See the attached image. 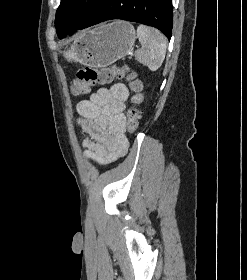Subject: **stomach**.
Listing matches in <instances>:
<instances>
[{
	"instance_id": "obj_1",
	"label": "stomach",
	"mask_w": 247,
	"mask_h": 280,
	"mask_svg": "<svg viewBox=\"0 0 247 280\" xmlns=\"http://www.w3.org/2000/svg\"><path fill=\"white\" fill-rule=\"evenodd\" d=\"M136 39L134 27L126 21H115L83 31L64 55L68 61L100 68L124 58Z\"/></svg>"
}]
</instances>
